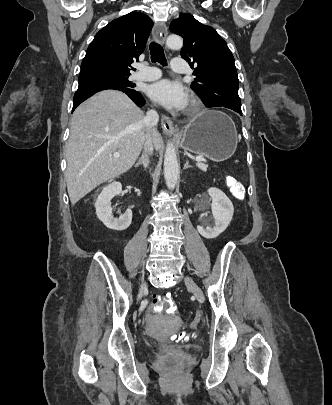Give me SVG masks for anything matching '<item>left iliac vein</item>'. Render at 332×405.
<instances>
[{"instance_id": "obj_1", "label": "left iliac vein", "mask_w": 332, "mask_h": 405, "mask_svg": "<svg viewBox=\"0 0 332 405\" xmlns=\"http://www.w3.org/2000/svg\"><path fill=\"white\" fill-rule=\"evenodd\" d=\"M184 282L198 300H200V301L205 300L202 290L199 288V286L194 282V280L190 276H186L184 278Z\"/></svg>"}]
</instances>
